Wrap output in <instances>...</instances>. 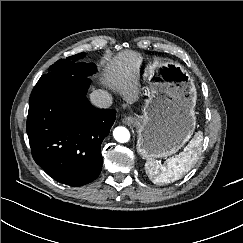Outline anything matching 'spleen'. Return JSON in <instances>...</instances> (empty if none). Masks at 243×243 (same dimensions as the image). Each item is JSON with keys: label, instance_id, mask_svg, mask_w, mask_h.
I'll return each mask as SVG.
<instances>
[{"label": "spleen", "instance_id": "spleen-1", "mask_svg": "<svg viewBox=\"0 0 243 243\" xmlns=\"http://www.w3.org/2000/svg\"><path fill=\"white\" fill-rule=\"evenodd\" d=\"M203 134L197 132L182 152L159 165L152 159L145 163V170L155 184H166L179 180L199 159Z\"/></svg>", "mask_w": 243, "mask_h": 243}]
</instances>
